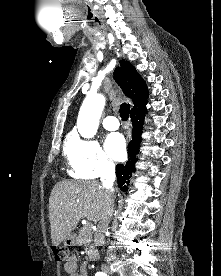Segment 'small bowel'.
Returning a JSON list of instances; mask_svg holds the SVG:
<instances>
[{
  "label": "small bowel",
  "instance_id": "small-bowel-1",
  "mask_svg": "<svg viewBox=\"0 0 221 276\" xmlns=\"http://www.w3.org/2000/svg\"><path fill=\"white\" fill-rule=\"evenodd\" d=\"M64 271L69 276H86L85 265L79 268L77 258L72 256L64 264Z\"/></svg>",
  "mask_w": 221,
  "mask_h": 276
}]
</instances>
